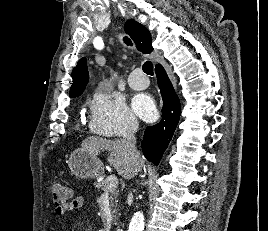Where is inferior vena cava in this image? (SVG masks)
<instances>
[{
    "instance_id": "1",
    "label": "inferior vena cava",
    "mask_w": 268,
    "mask_h": 231,
    "mask_svg": "<svg viewBox=\"0 0 268 231\" xmlns=\"http://www.w3.org/2000/svg\"><path fill=\"white\" fill-rule=\"evenodd\" d=\"M138 130V123L134 122L126 131L123 141L125 143V147L130 153L131 159L133 162H138L140 159V153L136 148V139H135V132Z\"/></svg>"
}]
</instances>
